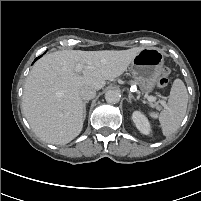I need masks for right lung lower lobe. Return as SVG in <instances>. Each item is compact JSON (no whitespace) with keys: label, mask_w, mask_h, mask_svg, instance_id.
<instances>
[{"label":"right lung lower lobe","mask_w":201,"mask_h":201,"mask_svg":"<svg viewBox=\"0 0 201 201\" xmlns=\"http://www.w3.org/2000/svg\"><path fill=\"white\" fill-rule=\"evenodd\" d=\"M40 57H41V56H39L38 58H40ZM38 58H36L35 61H36Z\"/></svg>","instance_id":"obj_1"}]
</instances>
